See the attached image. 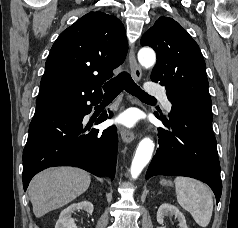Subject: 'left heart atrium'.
I'll return each mask as SVG.
<instances>
[{
	"label": "left heart atrium",
	"instance_id": "left-heart-atrium-1",
	"mask_svg": "<svg viewBox=\"0 0 238 228\" xmlns=\"http://www.w3.org/2000/svg\"><path fill=\"white\" fill-rule=\"evenodd\" d=\"M118 122L125 126L131 127L136 124L137 115L133 110H128L119 116Z\"/></svg>",
	"mask_w": 238,
	"mask_h": 228
}]
</instances>
